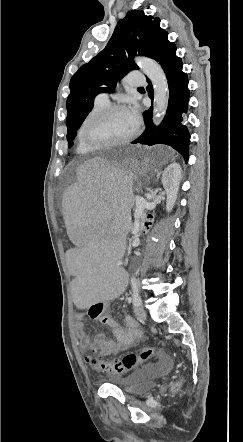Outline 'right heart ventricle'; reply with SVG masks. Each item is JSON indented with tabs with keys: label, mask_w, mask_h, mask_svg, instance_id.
<instances>
[{
	"label": "right heart ventricle",
	"mask_w": 243,
	"mask_h": 442,
	"mask_svg": "<svg viewBox=\"0 0 243 442\" xmlns=\"http://www.w3.org/2000/svg\"><path fill=\"white\" fill-rule=\"evenodd\" d=\"M108 105V103H103V102H99L97 100L94 101L92 107L90 108V110L88 111V113L86 114V116L84 117L83 121L81 122L78 130H77V134H76V151L80 154H87L92 152L94 149L88 147L82 140L81 138V130H82V126L84 124V122L94 113H96L97 111L103 109L104 107H106Z\"/></svg>",
	"instance_id": "1"
}]
</instances>
